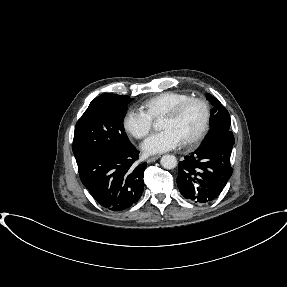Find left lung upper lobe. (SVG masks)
I'll list each match as a JSON object with an SVG mask.
<instances>
[{"instance_id":"1","label":"left lung upper lobe","mask_w":287,"mask_h":287,"mask_svg":"<svg viewBox=\"0 0 287 287\" xmlns=\"http://www.w3.org/2000/svg\"><path fill=\"white\" fill-rule=\"evenodd\" d=\"M207 99L213 105V109L210 114V130L201 145H206L225 132L230 131L231 124L229 113L220 101L210 94H207Z\"/></svg>"}]
</instances>
